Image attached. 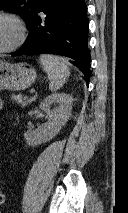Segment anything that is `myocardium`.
Listing matches in <instances>:
<instances>
[{
	"instance_id": "obj_1",
	"label": "myocardium",
	"mask_w": 128,
	"mask_h": 213,
	"mask_svg": "<svg viewBox=\"0 0 128 213\" xmlns=\"http://www.w3.org/2000/svg\"><path fill=\"white\" fill-rule=\"evenodd\" d=\"M0 18H7L14 23L17 29V38L8 47L0 49V54L10 53L23 45L27 37V28L24 21L15 13L9 11H0Z\"/></svg>"
}]
</instances>
